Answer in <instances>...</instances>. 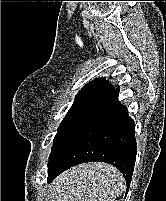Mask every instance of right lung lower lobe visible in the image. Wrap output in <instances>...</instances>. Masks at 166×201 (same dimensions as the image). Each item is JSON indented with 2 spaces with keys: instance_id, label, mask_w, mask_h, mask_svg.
<instances>
[{
  "instance_id": "right-lung-lower-lobe-1",
  "label": "right lung lower lobe",
  "mask_w": 166,
  "mask_h": 201,
  "mask_svg": "<svg viewBox=\"0 0 166 201\" xmlns=\"http://www.w3.org/2000/svg\"><path fill=\"white\" fill-rule=\"evenodd\" d=\"M118 93L114 89L56 152L48 164V182L70 167L100 161L118 168L130 185L137 154L135 126Z\"/></svg>"
}]
</instances>
